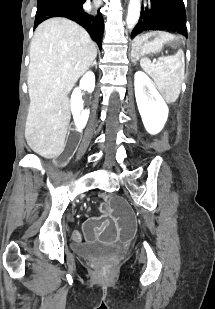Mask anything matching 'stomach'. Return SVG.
<instances>
[{
    "mask_svg": "<svg viewBox=\"0 0 215 309\" xmlns=\"http://www.w3.org/2000/svg\"><path fill=\"white\" fill-rule=\"evenodd\" d=\"M164 48L178 50L180 53V38L167 31H150L137 35L132 41L131 57L133 60L144 58L161 52Z\"/></svg>",
    "mask_w": 215,
    "mask_h": 309,
    "instance_id": "1",
    "label": "stomach"
}]
</instances>
